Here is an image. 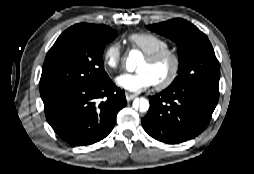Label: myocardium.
<instances>
[{
    "label": "myocardium",
    "instance_id": "f54148a6",
    "mask_svg": "<svg viewBox=\"0 0 254 174\" xmlns=\"http://www.w3.org/2000/svg\"><path fill=\"white\" fill-rule=\"evenodd\" d=\"M166 57H169L172 61L171 72L164 81L154 84L157 90H165L174 83L180 70V57L176 51L170 48L161 49L151 54L145 55V60L149 63H156Z\"/></svg>",
    "mask_w": 254,
    "mask_h": 174
}]
</instances>
